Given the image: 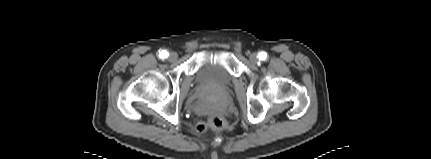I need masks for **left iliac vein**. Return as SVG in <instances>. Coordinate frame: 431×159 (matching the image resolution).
Here are the masks:
<instances>
[{
  "label": "left iliac vein",
  "instance_id": "obj_1",
  "mask_svg": "<svg viewBox=\"0 0 431 159\" xmlns=\"http://www.w3.org/2000/svg\"><path fill=\"white\" fill-rule=\"evenodd\" d=\"M249 59H250V61L252 62V63H257L258 62V56H257V54H255V53H252L250 56H249Z\"/></svg>",
  "mask_w": 431,
  "mask_h": 159
}]
</instances>
